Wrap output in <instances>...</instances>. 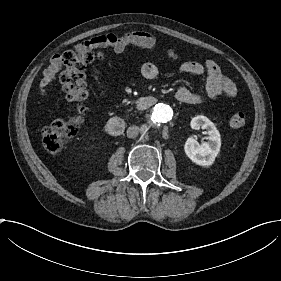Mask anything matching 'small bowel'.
I'll return each mask as SVG.
<instances>
[{
    "label": "small bowel",
    "mask_w": 281,
    "mask_h": 281,
    "mask_svg": "<svg viewBox=\"0 0 281 281\" xmlns=\"http://www.w3.org/2000/svg\"><path fill=\"white\" fill-rule=\"evenodd\" d=\"M100 45L111 47L115 52L121 53L128 46H142L147 49L156 47V39L144 31H130L125 33H110L103 37ZM168 55L175 61L181 60V54L175 50L168 49ZM64 57L55 55L51 58L48 68L42 77L41 95L47 96L48 91L44 86L52 82L57 74L63 69ZM179 69L182 73L201 75L206 72L204 89L201 92L190 91L185 87H179L176 91V99L182 104H198L207 101H217L224 97L233 99L236 96L234 83L224 76L218 65L211 59H204L202 63L183 62ZM141 72L148 80H155L159 76L158 67L152 62H146L141 67Z\"/></svg>",
    "instance_id": "c3829d8e"
}]
</instances>
